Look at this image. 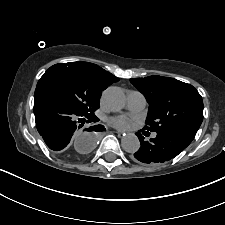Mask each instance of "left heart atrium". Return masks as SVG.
Returning a JSON list of instances; mask_svg holds the SVG:
<instances>
[{
    "label": "left heart atrium",
    "mask_w": 225,
    "mask_h": 225,
    "mask_svg": "<svg viewBox=\"0 0 225 225\" xmlns=\"http://www.w3.org/2000/svg\"><path fill=\"white\" fill-rule=\"evenodd\" d=\"M116 127L120 129H130L133 126V121L127 116H120L113 118L111 121Z\"/></svg>",
    "instance_id": "1"
}]
</instances>
